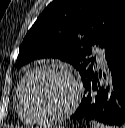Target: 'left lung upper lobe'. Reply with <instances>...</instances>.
Returning a JSON list of instances; mask_svg holds the SVG:
<instances>
[{"instance_id":"1","label":"left lung upper lobe","mask_w":125,"mask_h":128,"mask_svg":"<svg viewBox=\"0 0 125 128\" xmlns=\"http://www.w3.org/2000/svg\"><path fill=\"white\" fill-rule=\"evenodd\" d=\"M124 27V0H54L26 34L16 67L59 58L71 63L84 80L96 69L92 47L105 49Z\"/></svg>"}]
</instances>
